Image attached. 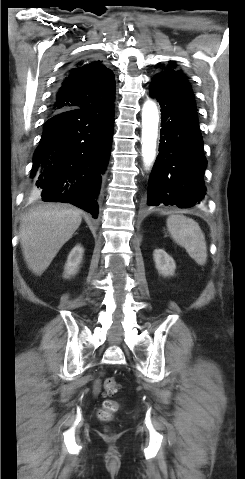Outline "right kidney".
<instances>
[{
	"label": "right kidney",
	"instance_id": "ca27d5eb",
	"mask_svg": "<svg viewBox=\"0 0 245 479\" xmlns=\"http://www.w3.org/2000/svg\"><path fill=\"white\" fill-rule=\"evenodd\" d=\"M84 249L80 245H76L68 255L64 268V277L69 278L77 274L79 266L83 259Z\"/></svg>",
	"mask_w": 245,
	"mask_h": 479
}]
</instances>
